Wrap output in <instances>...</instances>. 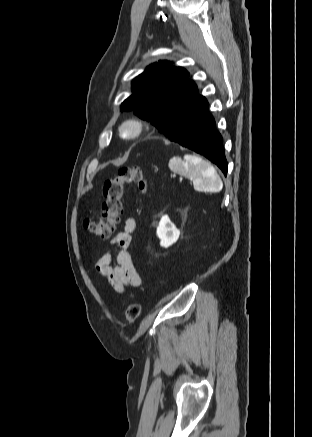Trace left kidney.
I'll return each instance as SVG.
<instances>
[{
    "instance_id": "1",
    "label": "left kidney",
    "mask_w": 312,
    "mask_h": 437,
    "mask_svg": "<svg viewBox=\"0 0 312 437\" xmlns=\"http://www.w3.org/2000/svg\"><path fill=\"white\" fill-rule=\"evenodd\" d=\"M156 233L160 239V245L165 248L175 243L180 235V231L176 228L168 215L162 216Z\"/></svg>"
}]
</instances>
